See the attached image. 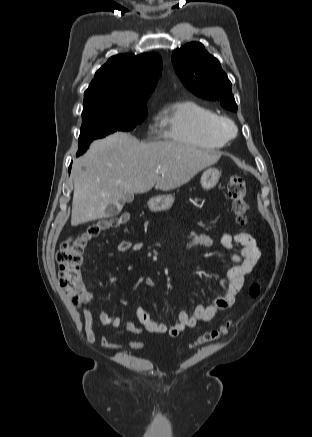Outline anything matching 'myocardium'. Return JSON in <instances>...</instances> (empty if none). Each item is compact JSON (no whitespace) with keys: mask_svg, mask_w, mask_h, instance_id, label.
Wrapping results in <instances>:
<instances>
[{"mask_svg":"<svg viewBox=\"0 0 312 437\" xmlns=\"http://www.w3.org/2000/svg\"><path fill=\"white\" fill-rule=\"evenodd\" d=\"M211 128L214 133L226 140L234 138L237 134L235 122L226 115H216L211 122Z\"/></svg>","mask_w":312,"mask_h":437,"instance_id":"myocardium-1","label":"myocardium"}]
</instances>
